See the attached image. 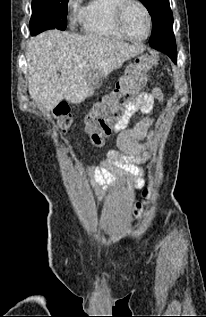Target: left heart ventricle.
<instances>
[{
  "mask_svg": "<svg viewBox=\"0 0 206 317\" xmlns=\"http://www.w3.org/2000/svg\"><path fill=\"white\" fill-rule=\"evenodd\" d=\"M123 26L126 32L135 38L145 36L147 32V19L144 11L136 4H132L125 12Z\"/></svg>",
  "mask_w": 206,
  "mask_h": 317,
  "instance_id": "left-heart-ventricle-1",
  "label": "left heart ventricle"
}]
</instances>
